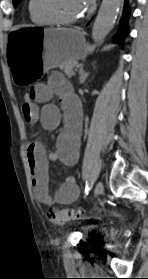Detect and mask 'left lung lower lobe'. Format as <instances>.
Segmentation results:
<instances>
[{"mask_svg":"<svg viewBox=\"0 0 148 279\" xmlns=\"http://www.w3.org/2000/svg\"><path fill=\"white\" fill-rule=\"evenodd\" d=\"M129 11L130 10H129L128 5L126 3L125 7H124L123 16H122L121 21H120V27H119L118 32L116 33V35L113 37L116 42L122 43L123 39L128 34L127 21H128Z\"/></svg>","mask_w":148,"mask_h":279,"instance_id":"obj_1","label":"left lung lower lobe"}]
</instances>
